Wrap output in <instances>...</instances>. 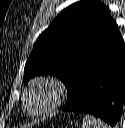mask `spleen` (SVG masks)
Wrapping results in <instances>:
<instances>
[{
    "label": "spleen",
    "mask_w": 125,
    "mask_h": 128,
    "mask_svg": "<svg viewBox=\"0 0 125 128\" xmlns=\"http://www.w3.org/2000/svg\"><path fill=\"white\" fill-rule=\"evenodd\" d=\"M83 128H110L106 123L100 119H96L91 115H86L83 118Z\"/></svg>",
    "instance_id": "obj_1"
}]
</instances>
